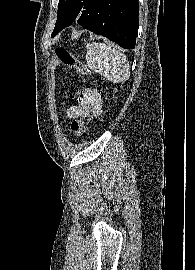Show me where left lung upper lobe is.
<instances>
[{
  "label": "left lung upper lobe",
  "mask_w": 195,
  "mask_h": 270,
  "mask_svg": "<svg viewBox=\"0 0 195 270\" xmlns=\"http://www.w3.org/2000/svg\"><path fill=\"white\" fill-rule=\"evenodd\" d=\"M86 0H59L58 15L55 28L51 36L71 25L81 12Z\"/></svg>",
  "instance_id": "left-lung-upper-lobe-1"
}]
</instances>
